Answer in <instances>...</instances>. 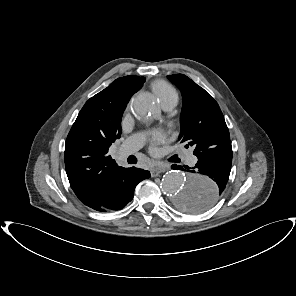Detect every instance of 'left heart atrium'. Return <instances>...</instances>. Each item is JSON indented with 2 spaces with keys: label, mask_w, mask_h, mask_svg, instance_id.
Returning <instances> with one entry per match:
<instances>
[{
  "label": "left heart atrium",
  "mask_w": 296,
  "mask_h": 296,
  "mask_svg": "<svg viewBox=\"0 0 296 296\" xmlns=\"http://www.w3.org/2000/svg\"><path fill=\"white\" fill-rule=\"evenodd\" d=\"M167 139V132L164 129L157 128L150 133V142L154 146L156 144L163 143Z\"/></svg>",
  "instance_id": "1"
}]
</instances>
